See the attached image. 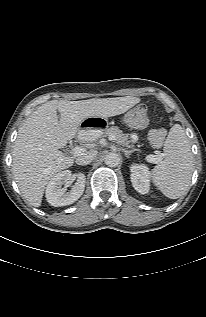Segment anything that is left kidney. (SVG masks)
I'll list each match as a JSON object with an SVG mask.
<instances>
[{
  "instance_id": "5707ae66",
  "label": "left kidney",
  "mask_w": 206,
  "mask_h": 317,
  "mask_svg": "<svg viewBox=\"0 0 206 317\" xmlns=\"http://www.w3.org/2000/svg\"><path fill=\"white\" fill-rule=\"evenodd\" d=\"M130 170V178L134 189L141 194H147L150 190V173L148 167L143 164H133Z\"/></svg>"
}]
</instances>
